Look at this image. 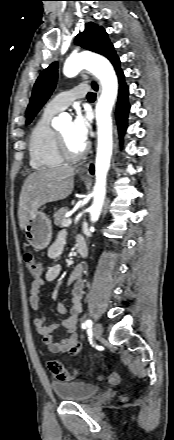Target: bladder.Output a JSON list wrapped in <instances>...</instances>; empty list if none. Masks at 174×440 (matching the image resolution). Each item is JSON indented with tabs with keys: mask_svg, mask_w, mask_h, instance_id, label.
<instances>
[{
	"mask_svg": "<svg viewBox=\"0 0 174 440\" xmlns=\"http://www.w3.org/2000/svg\"><path fill=\"white\" fill-rule=\"evenodd\" d=\"M51 387L58 399L74 402L87 401L100 390L98 385L82 381L54 382Z\"/></svg>",
	"mask_w": 174,
	"mask_h": 440,
	"instance_id": "1",
	"label": "bladder"
}]
</instances>
